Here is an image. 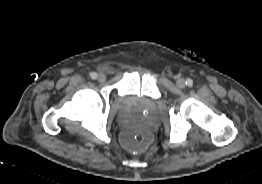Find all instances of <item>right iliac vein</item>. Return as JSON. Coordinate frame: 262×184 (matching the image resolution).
Wrapping results in <instances>:
<instances>
[{
	"instance_id": "obj_1",
	"label": "right iliac vein",
	"mask_w": 262,
	"mask_h": 184,
	"mask_svg": "<svg viewBox=\"0 0 262 184\" xmlns=\"http://www.w3.org/2000/svg\"><path fill=\"white\" fill-rule=\"evenodd\" d=\"M105 80H106L105 74L100 73V74L98 75V81H99V82H104Z\"/></svg>"
}]
</instances>
